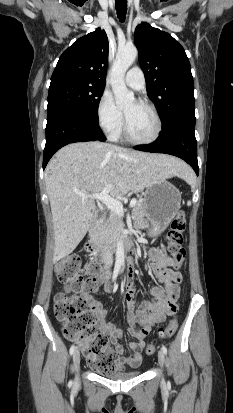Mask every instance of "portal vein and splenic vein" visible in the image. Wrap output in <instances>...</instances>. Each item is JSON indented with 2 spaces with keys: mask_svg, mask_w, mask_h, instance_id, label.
<instances>
[{
  "mask_svg": "<svg viewBox=\"0 0 233 413\" xmlns=\"http://www.w3.org/2000/svg\"><path fill=\"white\" fill-rule=\"evenodd\" d=\"M111 189V185L106 186L100 193L94 194H84L82 192H76L82 198H89L92 200H100L103 204H105L112 212L116 213L119 216H124V210L122 203L111 197L109 195V191ZM137 203V200L134 198L130 202V208L134 207Z\"/></svg>",
  "mask_w": 233,
  "mask_h": 413,
  "instance_id": "18ae733b",
  "label": "portal vein and splenic vein"
}]
</instances>
